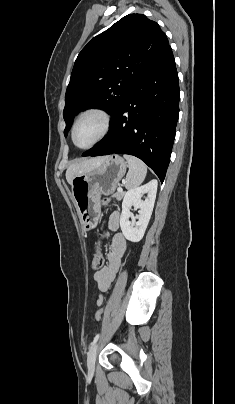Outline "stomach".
Instances as JSON below:
<instances>
[{"instance_id": "0dacf381", "label": "stomach", "mask_w": 235, "mask_h": 404, "mask_svg": "<svg viewBox=\"0 0 235 404\" xmlns=\"http://www.w3.org/2000/svg\"><path fill=\"white\" fill-rule=\"evenodd\" d=\"M126 168L127 164L121 156L111 155L92 170L73 178L72 198L84 231L97 226L101 195H110L115 191Z\"/></svg>"}]
</instances>
